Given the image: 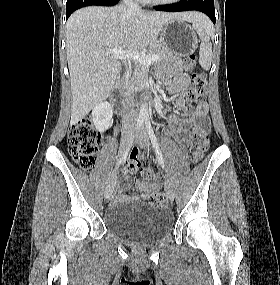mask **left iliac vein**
I'll use <instances>...</instances> for the list:
<instances>
[{
	"mask_svg": "<svg viewBox=\"0 0 280 285\" xmlns=\"http://www.w3.org/2000/svg\"><path fill=\"white\" fill-rule=\"evenodd\" d=\"M136 142L138 144H140L139 146H143L145 149L149 150L150 142H149V138L147 136L146 130L143 126L141 127V129L139 131ZM165 191H166V194H167L169 200L172 202L174 200L175 196H174L173 185L168 178L165 179Z\"/></svg>",
	"mask_w": 280,
	"mask_h": 285,
	"instance_id": "4c4485c4",
	"label": "left iliac vein"
}]
</instances>
